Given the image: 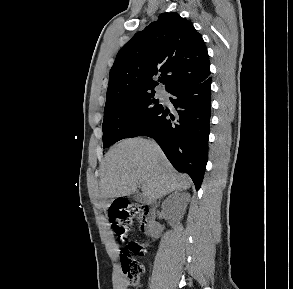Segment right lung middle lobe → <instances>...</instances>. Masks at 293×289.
<instances>
[{
  "mask_svg": "<svg viewBox=\"0 0 293 289\" xmlns=\"http://www.w3.org/2000/svg\"><path fill=\"white\" fill-rule=\"evenodd\" d=\"M160 107L162 104L155 98V92L119 98L107 103L102 126L104 147L129 138Z\"/></svg>",
  "mask_w": 293,
  "mask_h": 289,
  "instance_id": "obj_1",
  "label": "right lung middle lobe"
}]
</instances>
